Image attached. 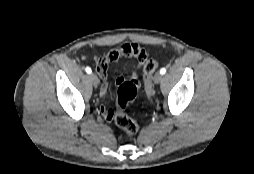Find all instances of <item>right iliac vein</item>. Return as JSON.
Segmentation results:
<instances>
[{
  "label": "right iliac vein",
  "instance_id": "1",
  "mask_svg": "<svg viewBox=\"0 0 254 174\" xmlns=\"http://www.w3.org/2000/svg\"><path fill=\"white\" fill-rule=\"evenodd\" d=\"M90 80L92 82V84L97 87L98 86V83H99V79L97 77V75L95 73H91L90 74Z\"/></svg>",
  "mask_w": 254,
  "mask_h": 174
}]
</instances>
